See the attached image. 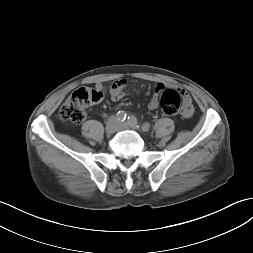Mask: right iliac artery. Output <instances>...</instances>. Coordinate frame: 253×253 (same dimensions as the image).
Masks as SVG:
<instances>
[{
	"instance_id": "82829eb1",
	"label": "right iliac artery",
	"mask_w": 253,
	"mask_h": 253,
	"mask_svg": "<svg viewBox=\"0 0 253 253\" xmlns=\"http://www.w3.org/2000/svg\"><path fill=\"white\" fill-rule=\"evenodd\" d=\"M118 120L124 121L127 118V114L125 111H119L117 113Z\"/></svg>"
}]
</instances>
